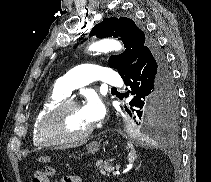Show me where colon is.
Listing matches in <instances>:
<instances>
[{
    "label": "colon",
    "instance_id": "colon-1",
    "mask_svg": "<svg viewBox=\"0 0 211 182\" xmlns=\"http://www.w3.org/2000/svg\"><path fill=\"white\" fill-rule=\"evenodd\" d=\"M55 176V170L51 166H45L42 172H36L33 182H48L50 178Z\"/></svg>",
    "mask_w": 211,
    "mask_h": 182
}]
</instances>
